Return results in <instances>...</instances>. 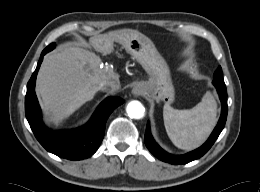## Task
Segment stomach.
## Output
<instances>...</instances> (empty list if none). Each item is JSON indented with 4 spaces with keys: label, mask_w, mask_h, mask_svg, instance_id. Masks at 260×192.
<instances>
[{
    "label": "stomach",
    "mask_w": 260,
    "mask_h": 192,
    "mask_svg": "<svg viewBox=\"0 0 260 192\" xmlns=\"http://www.w3.org/2000/svg\"><path fill=\"white\" fill-rule=\"evenodd\" d=\"M118 41L125 47L149 74L145 85V95L149 98L171 103L175 97L169 67L157 51L153 42L145 35L134 30L117 32Z\"/></svg>",
    "instance_id": "stomach-1"
}]
</instances>
